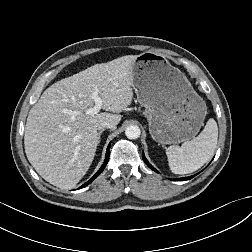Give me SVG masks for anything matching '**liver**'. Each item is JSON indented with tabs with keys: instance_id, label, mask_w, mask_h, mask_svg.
Masks as SVG:
<instances>
[{
	"instance_id": "liver-1",
	"label": "liver",
	"mask_w": 252,
	"mask_h": 252,
	"mask_svg": "<svg viewBox=\"0 0 252 252\" xmlns=\"http://www.w3.org/2000/svg\"><path fill=\"white\" fill-rule=\"evenodd\" d=\"M134 59L123 56L64 78L47 88L31 108L25 153L44 180L72 189L86 174L100 142L98 125L107 121L116 126L121 121L119 113L132 103ZM96 89L102 108L117 114L86 113L95 105L91 95Z\"/></svg>"
}]
</instances>
